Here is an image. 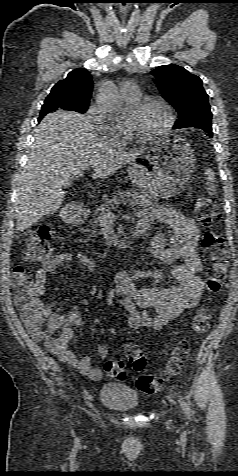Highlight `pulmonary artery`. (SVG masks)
<instances>
[{"label": "pulmonary artery", "mask_w": 238, "mask_h": 476, "mask_svg": "<svg viewBox=\"0 0 238 476\" xmlns=\"http://www.w3.org/2000/svg\"><path fill=\"white\" fill-rule=\"evenodd\" d=\"M121 96L128 102H137L141 96L140 89L134 82H124L120 87Z\"/></svg>", "instance_id": "1"}]
</instances>
